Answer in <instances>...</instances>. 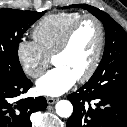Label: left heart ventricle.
<instances>
[{"instance_id": "left-heart-ventricle-1", "label": "left heart ventricle", "mask_w": 127, "mask_h": 127, "mask_svg": "<svg viewBox=\"0 0 127 127\" xmlns=\"http://www.w3.org/2000/svg\"><path fill=\"white\" fill-rule=\"evenodd\" d=\"M99 31L91 20L84 21L76 30L68 50L54 60L55 66L64 67L76 78L89 68L98 46Z\"/></svg>"}]
</instances>
